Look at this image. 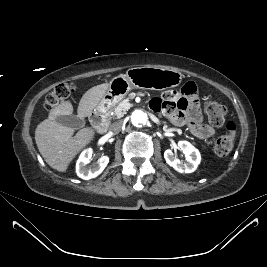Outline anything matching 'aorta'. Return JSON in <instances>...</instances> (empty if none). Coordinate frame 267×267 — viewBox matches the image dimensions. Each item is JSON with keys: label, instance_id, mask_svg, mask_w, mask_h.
Here are the masks:
<instances>
[{"label": "aorta", "instance_id": "762f6f07", "mask_svg": "<svg viewBox=\"0 0 267 267\" xmlns=\"http://www.w3.org/2000/svg\"><path fill=\"white\" fill-rule=\"evenodd\" d=\"M131 122L136 127H142L147 124L148 116L142 110H135L131 115Z\"/></svg>", "mask_w": 267, "mask_h": 267}]
</instances>
